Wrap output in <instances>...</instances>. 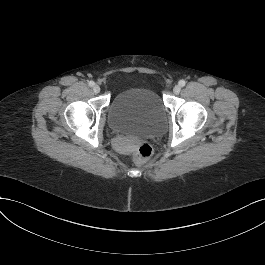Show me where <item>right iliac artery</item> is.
I'll list each match as a JSON object with an SVG mask.
<instances>
[{
    "label": "right iliac artery",
    "instance_id": "obj_1",
    "mask_svg": "<svg viewBox=\"0 0 265 265\" xmlns=\"http://www.w3.org/2000/svg\"><path fill=\"white\" fill-rule=\"evenodd\" d=\"M88 84H89L90 87H93L95 85L94 81H89Z\"/></svg>",
    "mask_w": 265,
    "mask_h": 265
}]
</instances>
